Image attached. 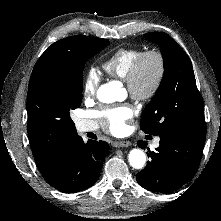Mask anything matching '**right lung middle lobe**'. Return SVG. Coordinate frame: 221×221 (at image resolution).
<instances>
[{"mask_svg": "<svg viewBox=\"0 0 221 221\" xmlns=\"http://www.w3.org/2000/svg\"><path fill=\"white\" fill-rule=\"evenodd\" d=\"M108 43L107 39L82 36L71 57L39 72L27 99L28 113L36 123L58 130L75 128L70 110L82 102L84 64Z\"/></svg>", "mask_w": 221, "mask_h": 221, "instance_id": "right-lung-middle-lobe-1", "label": "right lung middle lobe"}]
</instances>
